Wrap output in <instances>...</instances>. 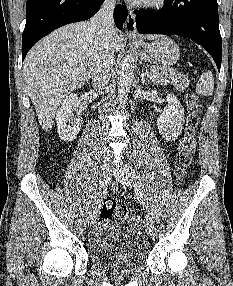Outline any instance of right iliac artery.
<instances>
[{
    "label": "right iliac artery",
    "instance_id": "1",
    "mask_svg": "<svg viewBox=\"0 0 233 286\" xmlns=\"http://www.w3.org/2000/svg\"><path fill=\"white\" fill-rule=\"evenodd\" d=\"M100 197H101V194H100V192L99 193H97V196H95V202H97V201H99L100 200Z\"/></svg>",
    "mask_w": 233,
    "mask_h": 286
}]
</instances>
